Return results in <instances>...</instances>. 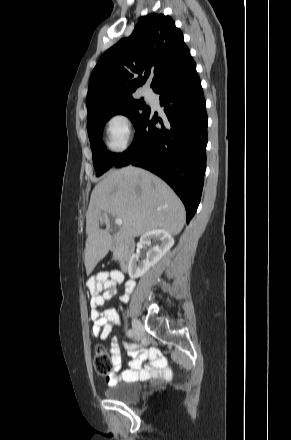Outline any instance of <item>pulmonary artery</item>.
Here are the masks:
<instances>
[{
  "mask_svg": "<svg viewBox=\"0 0 291 440\" xmlns=\"http://www.w3.org/2000/svg\"><path fill=\"white\" fill-rule=\"evenodd\" d=\"M145 95H146L148 98L153 99V97H152V95H151V93H150L149 91H146V92H145Z\"/></svg>",
  "mask_w": 291,
  "mask_h": 440,
  "instance_id": "pulmonary-artery-1",
  "label": "pulmonary artery"
}]
</instances>
